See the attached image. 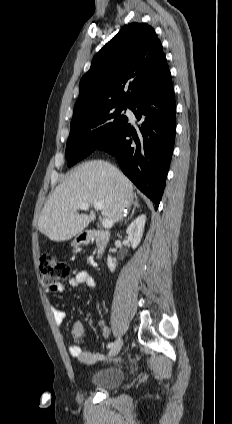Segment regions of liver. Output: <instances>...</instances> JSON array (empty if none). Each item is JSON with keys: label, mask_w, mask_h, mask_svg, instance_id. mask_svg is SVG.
Masks as SVG:
<instances>
[{"label": "liver", "mask_w": 232, "mask_h": 424, "mask_svg": "<svg viewBox=\"0 0 232 424\" xmlns=\"http://www.w3.org/2000/svg\"><path fill=\"white\" fill-rule=\"evenodd\" d=\"M94 202H103L101 214L113 222L119 221L133 202L131 181L102 160L79 165L55 188L39 216V231L52 241L73 238L96 218L94 211L79 215L80 204L92 206Z\"/></svg>", "instance_id": "obj_1"}]
</instances>
